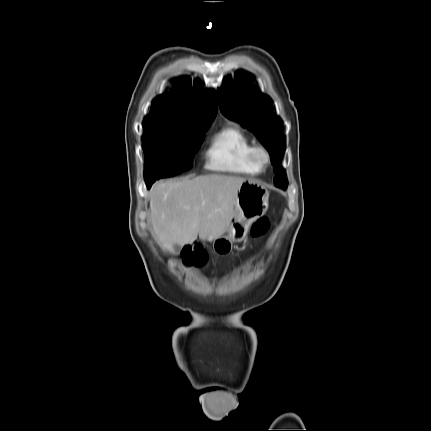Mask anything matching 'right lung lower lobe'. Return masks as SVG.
Instances as JSON below:
<instances>
[{
  "label": "right lung lower lobe",
  "mask_w": 431,
  "mask_h": 431,
  "mask_svg": "<svg viewBox=\"0 0 431 431\" xmlns=\"http://www.w3.org/2000/svg\"><path fill=\"white\" fill-rule=\"evenodd\" d=\"M145 181H146L147 188L149 189L155 180H145Z\"/></svg>",
  "instance_id": "right-lung-lower-lobe-1"
}]
</instances>
